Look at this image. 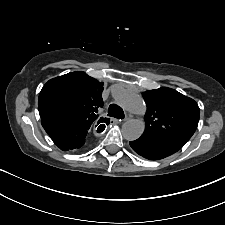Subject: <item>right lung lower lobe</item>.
I'll return each mask as SVG.
<instances>
[{"instance_id": "98d812e1", "label": "right lung lower lobe", "mask_w": 225, "mask_h": 225, "mask_svg": "<svg viewBox=\"0 0 225 225\" xmlns=\"http://www.w3.org/2000/svg\"><path fill=\"white\" fill-rule=\"evenodd\" d=\"M41 124L54 144L63 151L79 152L87 147L90 126L60 117H41Z\"/></svg>"}]
</instances>
